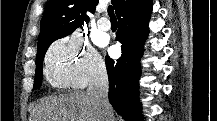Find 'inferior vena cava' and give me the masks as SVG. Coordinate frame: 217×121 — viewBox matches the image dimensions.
<instances>
[{
    "label": "inferior vena cava",
    "mask_w": 217,
    "mask_h": 121,
    "mask_svg": "<svg viewBox=\"0 0 217 121\" xmlns=\"http://www.w3.org/2000/svg\"><path fill=\"white\" fill-rule=\"evenodd\" d=\"M109 81L104 64L98 65L91 77L87 95L99 109L102 121H114L112 107L108 100Z\"/></svg>",
    "instance_id": "obj_1"
}]
</instances>
